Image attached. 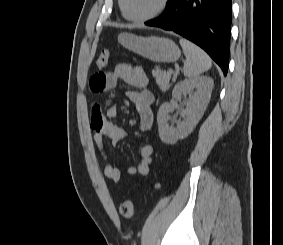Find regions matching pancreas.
<instances>
[{
  "label": "pancreas",
  "instance_id": "pancreas-1",
  "mask_svg": "<svg viewBox=\"0 0 283 245\" xmlns=\"http://www.w3.org/2000/svg\"><path fill=\"white\" fill-rule=\"evenodd\" d=\"M152 74L156 78V83L162 91H166L170 87V73L162 71L159 67H156Z\"/></svg>",
  "mask_w": 283,
  "mask_h": 245
}]
</instances>
